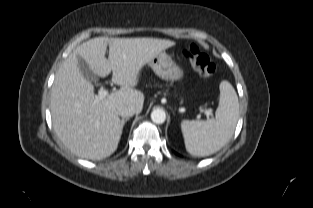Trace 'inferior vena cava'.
<instances>
[{
    "label": "inferior vena cava",
    "instance_id": "obj_1",
    "mask_svg": "<svg viewBox=\"0 0 313 208\" xmlns=\"http://www.w3.org/2000/svg\"><path fill=\"white\" fill-rule=\"evenodd\" d=\"M117 113L122 117H131L136 113V108L131 104H119L117 106Z\"/></svg>",
    "mask_w": 313,
    "mask_h": 208
}]
</instances>
